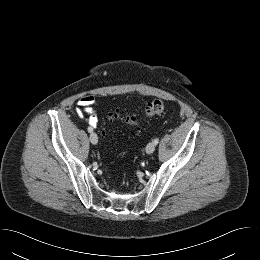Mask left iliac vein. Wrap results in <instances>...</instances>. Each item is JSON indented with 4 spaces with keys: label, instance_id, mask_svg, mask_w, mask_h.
Returning a JSON list of instances; mask_svg holds the SVG:
<instances>
[{
    "label": "left iliac vein",
    "instance_id": "left-iliac-vein-1",
    "mask_svg": "<svg viewBox=\"0 0 260 260\" xmlns=\"http://www.w3.org/2000/svg\"><path fill=\"white\" fill-rule=\"evenodd\" d=\"M155 147H156V145L154 144V142L148 143V145L146 146V153L147 154L153 153L155 150Z\"/></svg>",
    "mask_w": 260,
    "mask_h": 260
}]
</instances>
